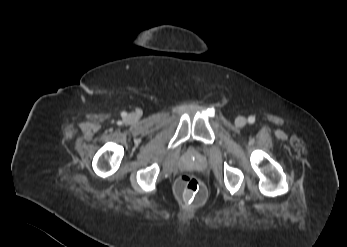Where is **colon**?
I'll use <instances>...</instances> for the list:
<instances>
[{"label":"colon","mask_w":347,"mask_h":247,"mask_svg":"<svg viewBox=\"0 0 347 247\" xmlns=\"http://www.w3.org/2000/svg\"><path fill=\"white\" fill-rule=\"evenodd\" d=\"M175 189L183 203L200 205L205 201L206 188L201 180L193 175L181 176L176 182Z\"/></svg>","instance_id":"1"}]
</instances>
